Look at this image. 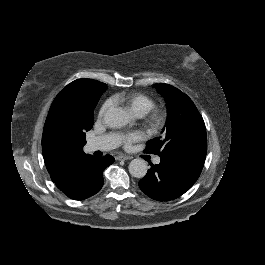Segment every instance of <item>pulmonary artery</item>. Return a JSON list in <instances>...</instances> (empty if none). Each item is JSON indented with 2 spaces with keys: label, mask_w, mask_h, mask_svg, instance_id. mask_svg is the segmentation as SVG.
I'll return each mask as SVG.
<instances>
[{
  "label": "pulmonary artery",
  "mask_w": 265,
  "mask_h": 265,
  "mask_svg": "<svg viewBox=\"0 0 265 265\" xmlns=\"http://www.w3.org/2000/svg\"><path fill=\"white\" fill-rule=\"evenodd\" d=\"M125 141V136L121 132L114 135L109 133L99 137H95L89 141L90 151H109L115 149ZM154 163H160V157L154 158Z\"/></svg>",
  "instance_id": "obj_1"
}]
</instances>
